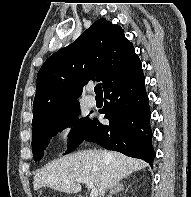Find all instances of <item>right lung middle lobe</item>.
Returning <instances> with one entry per match:
<instances>
[{"mask_svg":"<svg viewBox=\"0 0 191 197\" xmlns=\"http://www.w3.org/2000/svg\"><path fill=\"white\" fill-rule=\"evenodd\" d=\"M79 105L58 113L32 129V151L35 161H40L44 155L49 140L67 127H73L68 151L75 149L89 132L92 120L88 117L78 118Z\"/></svg>","mask_w":191,"mask_h":197,"instance_id":"obj_1","label":"right lung middle lobe"}]
</instances>
